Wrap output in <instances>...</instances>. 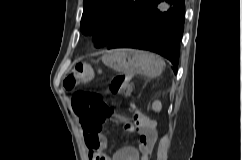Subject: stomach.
<instances>
[{
	"label": "stomach",
	"instance_id": "1",
	"mask_svg": "<svg viewBox=\"0 0 242 160\" xmlns=\"http://www.w3.org/2000/svg\"><path fill=\"white\" fill-rule=\"evenodd\" d=\"M102 60L108 67L125 74L141 73L155 77L162 69L157 56L136 49H113L108 51Z\"/></svg>",
	"mask_w": 242,
	"mask_h": 160
}]
</instances>
